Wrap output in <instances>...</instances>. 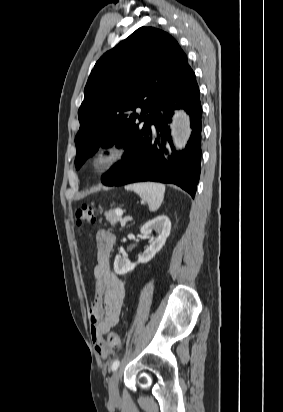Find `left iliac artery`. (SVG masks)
<instances>
[{
  "instance_id": "obj_1",
  "label": "left iliac artery",
  "mask_w": 283,
  "mask_h": 412,
  "mask_svg": "<svg viewBox=\"0 0 283 412\" xmlns=\"http://www.w3.org/2000/svg\"><path fill=\"white\" fill-rule=\"evenodd\" d=\"M119 365H120V361H119V360H115V361L113 362L112 366H111L112 371L117 370L118 367H119Z\"/></svg>"
}]
</instances>
